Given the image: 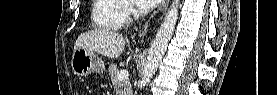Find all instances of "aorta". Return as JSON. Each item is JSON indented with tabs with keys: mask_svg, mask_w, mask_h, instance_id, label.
<instances>
[{
	"mask_svg": "<svg viewBox=\"0 0 277 95\" xmlns=\"http://www.w3.org/2000/svg\"><path fill=\"white\" fill-rule=\"evenodd\" d=\"M178 5L179 0H173L153 42L151 43L142 72L141 86L143 88L150 83L151 78L155 74L159 63L167 50L168 43L172 38L178 19Z\"/></svg>",
	"mask_w": 277,
	"mask_h": 95,
	"instance_id": "762f6f07",
	"label": "aorta"
}]
</instances>
